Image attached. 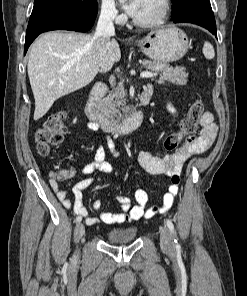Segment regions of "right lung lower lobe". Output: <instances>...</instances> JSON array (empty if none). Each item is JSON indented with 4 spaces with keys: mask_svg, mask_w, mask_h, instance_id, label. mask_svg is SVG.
<instances>
[{
    "mask_svg": "<svg viewBox=\"0 0 247 296\" xmlns=\"http://www.w3.org/2000/svg\"><path fill=\"white\" fill-rule=\"evenodd\" d=\"M97 11L78 12L68 0L40 9L31 14L27 27L24 55L33 40L42 32L71 30L85 32L94 24Z\"/></svg>",
    "mask_w": 247,
    "mask_h": 296,
    "instance_id": "1",
    "label": "right lung lower lobe"
}]
</instances>
